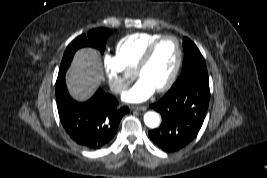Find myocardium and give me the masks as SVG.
Listing matches in <instances>:
<instances>
[{
    "mask_svg": "<svg viewBox=\"0 0 267 178\" xmlns=\"http://www.w3.org/2000/svg\"><path fill=\"white\" fill-rule=\"evenodd\" d=\"M165 39H173L175 41L176 47H177V60L168 80L158 89H156V92L158 93L165 92L174 84L178 76L179 70L181 68L182 60H183V49H182V45L178 37L173 34H166V35H162L160 38L152 42L148 46V48L145 50V52L143 53L135 69V75L139 77L140 72L147 66V64L151 60L158 45Z\"/></svg>",
    "mask_w": 267,
    "mask_h": 178,
    "instance_id": "1",
    "label": "myocardium"
}]
</instances>
